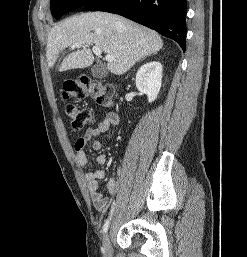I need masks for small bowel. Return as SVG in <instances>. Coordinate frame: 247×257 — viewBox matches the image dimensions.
<instances>
[{
	"label": "small bowel",
	"mask_w": 247,
	"mask_h": 257,
	"mask_svg": "<svg viewBox=\"0 0 247 257\" xmlns=\"http://www.w3.org/2000/svg\"><path fill=\"white\" fill-rule=\"evenodd\" d=\"M119 115L115 112L108 113L96 127L90 128L86 133L80 137L75 143V155L77 163L81 167L88 166V158L86 155L85 147L101 133L107 131L111 126L117 125L119 123ZM104 146L102 141L96 140L92 143V150L98 151ZM97 163L100 168L95 172H88L84 175L87 182L90 196L93 201L94 207L100 211L105 212L109 205V199L103 193L99 191V180H102L106 176L105 165L107 163V158L104 154L97 156ZM117 189V181L115 177H112L107 182V191L109 194H114Z\"/></svg>",
	"instance_id": "c3829d8e"
}]
</instances>
